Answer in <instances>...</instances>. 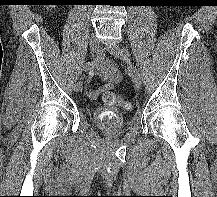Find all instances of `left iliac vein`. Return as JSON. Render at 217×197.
Here are the masks:
<instances>
[{
	"instance_id": "4c4485c4",
	"label": "left iliac vein",
	"mask_w": 217,
	"mask_h": 197,
	"mask_svg": "<svg viewBox=\"0 0 217 197\" xmlns=\"http://www.w3.org/2000/svg\"><path fill=\"white\" fill-rule=\"evenodd\" d=\"M107 49L113 56L127 62V73L131 77L136 89L139 90L142 86L141 75L136 66L130 61L128 53L118 44L108 46Z\"/></svg>"
}]
</instances>
